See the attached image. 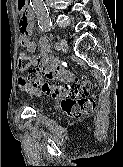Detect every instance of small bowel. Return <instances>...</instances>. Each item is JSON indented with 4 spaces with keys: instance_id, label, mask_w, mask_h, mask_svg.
I'll use <instances>...</instances> for the list:
<instances>
[{
    "instance_id": "c3829d8e",
    "label": "small bowel",
    "mask_w": 123,
    "mask_h": 167,
    "mask_svg": "<svg viewBox=\"0 0 123 167\" xmlns=\"http://www.w3.org/2000/svg\"><path fill=\"white\" fill-rule=\"evenodd\" d=\"M27 0H17V9L23 11L26 9ZM20 38L19 43L28 52H34L36 45L30 40V35L34 30V24L32 22V17L29 12L22 13L20 20ZM41 51L32 60V65L38 67L45 75L53 79H64L68 80L71 78V74L65 68L58 65L57 60L54 57L48 55L49 51V41L46 37L40 39ZM19 87L23 92L30 94H38L37 88L28 84L25 79L19 78Z\"/></svg>"
}]
</instances>
